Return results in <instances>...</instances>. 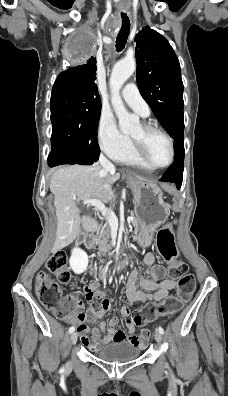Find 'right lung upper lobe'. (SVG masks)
<instances>
[{
    "label": "right lung upper lobe",
    "mask_w": 228,
    "mask_h": 396,
    "mask_svg": "<svg viewBox=\"0 0 228 396\" xmlns=\"http://www.w3.org/2000/svg\"><path fill=\"white\" fill-rule=\"evenodd\" d=\"M96 80V59L89 58L82 65L70 67L61 72L54 86H64L77 91L80 95L100 99Z\"/></svg>",
    "instance_id": "right-lung-upper-lobe-1"
}]
</instances>
